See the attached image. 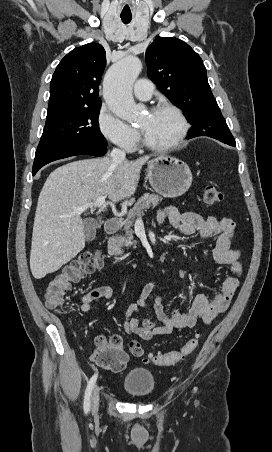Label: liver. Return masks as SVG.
Here are the masks:
<instances>
[{"instance_id":"liver-1","label":"liver","mask_w":272,"mask_h":452,"mask_svg":"<svg viewBox=\"0 0 272 452\" xmlns=\"http://www.w3.org/2000/svg\"><path fill=\"white\" fill-rule=\"evenodd\" d=\"M150 157L114 164L110 157L70 162L50 173L40 192L32 234L30 269L36 279L60 269L85 246L76 208L100 196L113 202L132 196Z\"/></svg>"}]
</instances>
